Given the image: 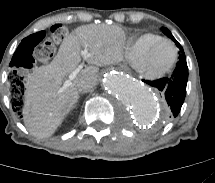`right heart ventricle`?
<instances>
[{
  "instance_id": "right-heart-ventricle-1",
  "label": "right heart ventricle",
  "mask_w": 215,
  "mask_h": 183,
  "mask_svg": "<svg viewBox=\"0 0 215 183\" xmlns=\"http://www.w3.org/2000/svg\"><path fill=\"white\" fill-rule=\"evenodd\" d=\"M161 38V36L153 33H144L132 37L127 46V56L131 63L135 65L141 54Z\"/></svg>"
}]
</instances>
